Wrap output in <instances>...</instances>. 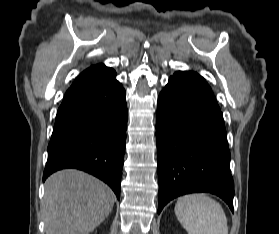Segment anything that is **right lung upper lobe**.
Instances as JSON below:
<instances>
[{
  "label": "right lung upper lobe",
  "instance_id": "1",
  "mask_svg": "<svg viewBox=\"0 0 279 234\" xmlns=\"http://www.w3.org/2000/svg\"><path fill=\"white\" fill-rule=\"evenodd\" d=\"M92 67H94V66H91V67H89L88 69H90V68H92ZM87 70V69H86Z\"/></svg>",
  "mask_w": 279,
  "mask_h": 234
}]
</instances>
